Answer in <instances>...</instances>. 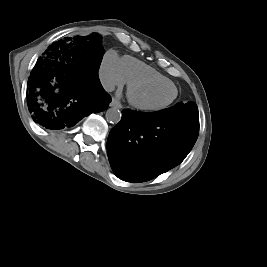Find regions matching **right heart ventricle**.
Instances as JSON below:
<instances>
[{"label":"right heart ventricle","mask_w":267,"mask_h":267,"mask_svg":"<svg viewBox=\"0 0 267 267\" xmlns=\"http://www.w3.org/2000/svg\"><path fill=\"white\" fill-rule=\"evenodd\" d=\"M121 67L125 81L128 83L138 79H157L161 81H170L151 66L130 56L122 57Z\"/></svg>","instance_id":"1"}]
</instances>
